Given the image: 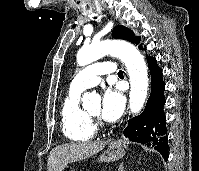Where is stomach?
Segmentation results:
<instances>
[{"mask_svg":"<svg viewBox=\"0 0 199 171\" xmlns=\"http://www.w3.org/2000/svg\"><path fill=\"white\" fill-rule=\"evenodd\" d=\"M125 155L124 147L119 142H111L106 151L98 158L99 162L119 160Z\"/></svg>","mask_w":199,"mask_h":171,"instance_id":"1","label":"stomach"}]
</instances>
